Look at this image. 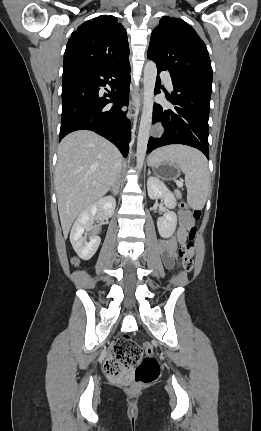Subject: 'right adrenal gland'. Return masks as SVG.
Listing matches in <instances>:
<instances>
[{"label": "right adrenal gland", "instance_id": "right-adrenal-gland-1", "mask_svg": "<svg viewBox=\"0 0 261 431\" xmlns=\"http://www.w3.org/2000/svg\"><path fill=\"white\" fill-rule=\"evenodd\" d=\"M119 187H120V183L118 181V184L116 187L110 188V191L112 192L113 195H117L119 193Z\"/></svg>", "mask_w": 261, "mask_h": 431}]
</instances>
